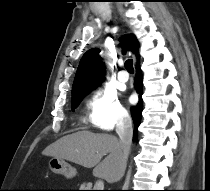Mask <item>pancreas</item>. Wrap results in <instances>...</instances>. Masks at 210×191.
Segmentation results:
<instances>
[{
    "label": "pancreas",
    "mask_w": 210,
    "mask_h": 191,
    "mask_svg": "<svg viewBox=\"0 0 210 191\" xmlns=\"http://www.w3.org/2000/svg\"><path fill=\"white\" fill-rule=\"evenodd\" d=\"M81 187H82L81 189H91L92 185L90 183H88V184L84 183L81 185Z\"/></svg>",
    "instance_id": "obj_1"
}]
</instances>
